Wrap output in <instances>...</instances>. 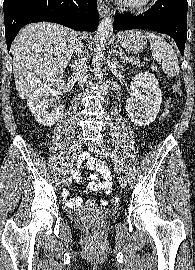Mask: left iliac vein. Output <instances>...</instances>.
I'll use <instances>...</instances> for the list:
<instances>
[{
    "label": "left iliac vein",
    "instance_id": "1",
    "mask_svg": "<svg viewBox=\"0 0 195 270\" xmlns=\"http://www.w3.org/2000/svg\"><path fill=\"white\" fill-rule=\"evenodd\" d=\"M91 151H93L94 153L99 154L101 157H107L108 156V152L106 150V147L103 143H98L95 146H92L90 148ZM118 173V179H119V183L121 185L122 188H125L127 186V181H126V177L124 176V174L121 173V171L118 169L117 170Z\"/></svg>",
    "mask_w": 195,
    "mask_h": 270
}]
</instances>
